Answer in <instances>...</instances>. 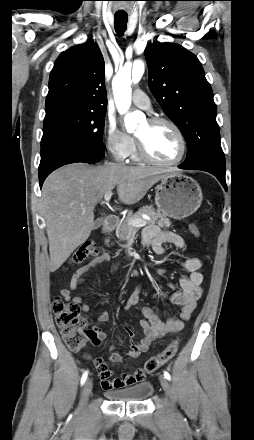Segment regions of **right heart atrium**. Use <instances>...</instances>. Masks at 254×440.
<instances>
[{
    "label": "right heart atrium",
    "mask_w": 254,
    "mask_h": 440,
    "mask_svg": "<svg viewBox=\"0 0 254 440\" xmlns=\"http://www.w3.org/2000/svg\"><path fill=\"white\" fill-rule=\"evenodd\" d=\"M105 142L108 150L119 159L131 156L135 148L133 136L120 129L111 119H108L105 125Z\"/></svg>",
    "instance_id": "obj_1"
}]
</instances>
